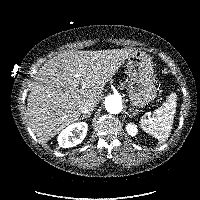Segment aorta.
<instances>
[{
    "label": "aorta",
    "instance_id": "aorta-1",
    "mask_svg": "<svg viewBox=\"0 0 200 200\" xmlns=\"http://www.w3.org/2000/svg\"><path fill=\"white\" fill-rule=\"evenodd\" d=\"M105 108L111 114H118L122 111V100L119 95H109L105 99Z\"/></svg>",
    "mask_w": 200,
    "mask_h": 200
}]
</instances>
